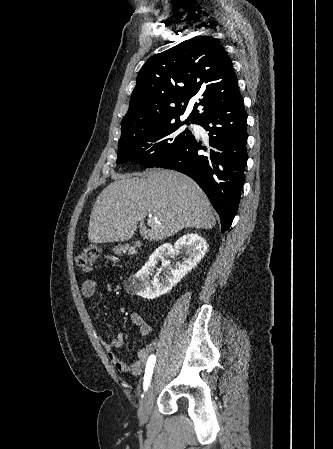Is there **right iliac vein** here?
<instances>
[{"instance_id":"63e3f726","label":"right iliac vein","mask_w":333,"mask_h":449,"mask_svg":"<svg viewBox=\"0 0 333 449\" xmlns=\"http://www.w3.org/2000/svg\"><path fill=\"white\" fill-rule=\"evenodd\" d=\"M154 396V384L152 383L148 387L138 411V417L141 423H146L149 419L153 406Z\"/></svg>"}]
</instances>
